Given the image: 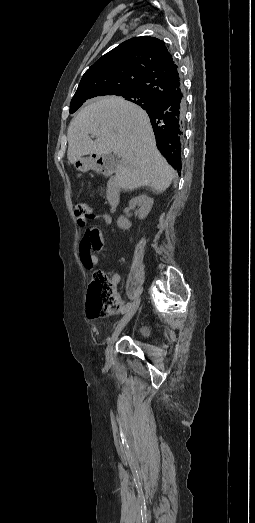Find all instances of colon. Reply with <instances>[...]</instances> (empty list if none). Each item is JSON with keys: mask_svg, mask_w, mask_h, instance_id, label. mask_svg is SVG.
Here are the masks:
<instances>
[{"mask_svg": "<svg viewBox=\"0 0 255 523\" xmlns=\"http://www.w3.org/2000/svg\"><path fill=\"white\" fill-rule=\"evenodd\" d=\"M75 214L81 225H86L93 218L92 208L86 203L75 206ZM121 302L115 292L114 285L102 270L94 271L88 288L87 316L95 318L117 312Z\"/></svg>", "mask_w": 255, "mask_h": 523, "instance_id": "colon-1", "label": "colon"}]
</instances>
